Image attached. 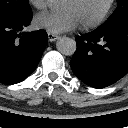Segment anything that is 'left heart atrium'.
I'll return each instance as SVG.
<instances>
[{"instance_id": "left-heart-atrium-1", "label": "left heart atrium", "mask_w": 128, "mask_h": 128, "mask_svg": "<svg viewBox=\"0 0 128 128\" xmlns=\"http://www.w3.org/2000/svg\"><path fill=\"white\" fill-rule=\"evenodd\" d=\"M34 25L38 29L59 34L75 29L79 25V21L71 11L62 13L45 12L34 18Z\"/></svg>"}]
</instances>
